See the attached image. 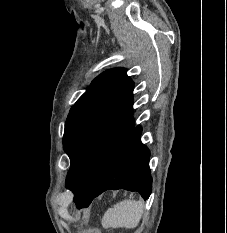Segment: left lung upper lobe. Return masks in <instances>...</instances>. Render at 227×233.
Wrapping results in <instances>:
<instances>
[{
  "mask_svg": "<svg viewBox=\"0 0 227 233\" xmlns=\"http://www.w3.org/2000/svg\"><path fill=\"white\" fill-rule=\"evenodd\" d=\"M133 87L126 69L107 70L71 108L63 148L71 161L66 187L74 202L96 189L113 152L134 127Z\"/></svg>",
  "mask_w": 227,
  "mask_h": 233,
  "instance_id": "obj_1",
  "label": "left lung upper lobe"
}]
</instances>
